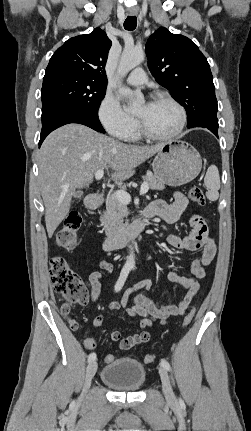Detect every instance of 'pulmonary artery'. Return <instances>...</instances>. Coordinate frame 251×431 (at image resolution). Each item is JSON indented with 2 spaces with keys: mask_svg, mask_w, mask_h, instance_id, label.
Wrapping results in <instances>:
<instances>
[{
  "mask_svg": "<svg viewBox=\"0 0 251 431\" xmlns=\"http://www.w3.org/2000/svg\"><path fill=\"white\" fill-rule=\"evenodd\" d=\"M127 82L134 86L144 85L147 82L146 73L142 68H136L128 75Z\"/></svg>",
  "mask_w": 251,
  "mask_h": 431,
  "instance_id": "1",
  "label": "pulmonary artery"
}]
</instances>
